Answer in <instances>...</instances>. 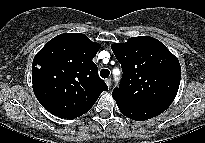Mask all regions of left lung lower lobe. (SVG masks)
<instances>
[{
    "mask_svg": "<svg viewBox=\"0 0 205 143\" xmlns=\"http://www.w3.org/2000/svg\"><path fill=\"white\" fill-rule=\"evenodd\" d=\"M120 112L136 121H143L150 118H153L162 112H164L169 106H157V107H144V108H134L127 107L120 104H117Z\"/></svg>",
    "mask_w": 205,
    "mask_h": 143,
    "instance_id": "0a47b994",
    "label": "left lung lower lobe"
}]
</instances>
